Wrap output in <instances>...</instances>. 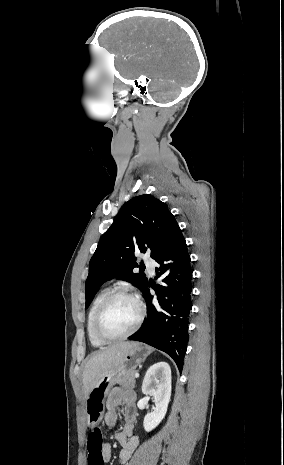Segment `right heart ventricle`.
<instances>
[{
  "label": "right heart ventricle",
  "mask_w": 284,
  "mask_h": 465,
  "mask_svg": "<svg viewBox=\"0 0 284 465\" xmlns=\"http://www.w3.org/2000/svg\"><path fill=\"white\" fill-rule=\"evenodd\" d=\"M109 295H110V291L108 289L101 290L94 297L89 307L87 318H86V332H87V337H88V340L91 346H104V344L99 342L93 334V319L99 306Z\"/></svg>",
  "instance_id": "obj_1"
}]
</instances>
